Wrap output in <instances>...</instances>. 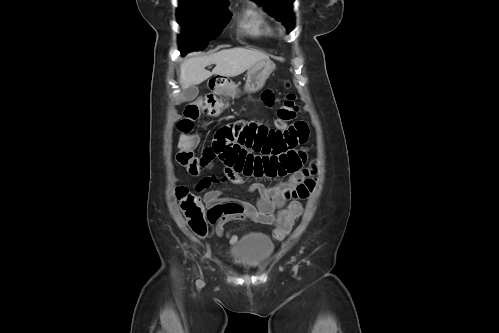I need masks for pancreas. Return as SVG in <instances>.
<instances>
[{"mask_svg":"<svg viewBox=\"0 0 499 333\" xmlns=\"http://www.w3.org/2000/svg\"><path fill=\"white\" fill-rule=\"evenodd\" d=\"M222 106H224V107H228V103H227V104H222Z\"/></svg>","mask_w":499,"mask_h":333,"instance_id":"1","label":"pancreas"}]
</instances>
